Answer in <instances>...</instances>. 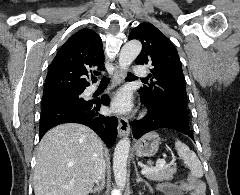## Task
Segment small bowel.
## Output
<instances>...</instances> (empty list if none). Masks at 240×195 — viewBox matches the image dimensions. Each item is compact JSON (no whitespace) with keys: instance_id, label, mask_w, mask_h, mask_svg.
<instances>
[{"instance_id":"small-bowel-1","label":"small bowel","mask_w":240,"mask_h":195,"mask_svg":"<svg viewBox=\"0 0 240 195\" xmlns=\"http://www.w3.org/2000/svg\"><path fill=\"white\" fill-rule=\"evenodd\" d=\"M161 195H205V186H189V182H163L158 184Z\"/></svg>"}]
</instances>
